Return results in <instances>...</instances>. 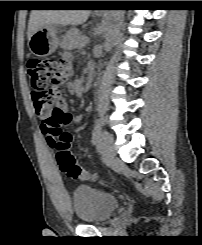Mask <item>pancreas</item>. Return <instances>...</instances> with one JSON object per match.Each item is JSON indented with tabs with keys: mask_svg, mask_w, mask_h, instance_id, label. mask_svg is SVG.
Listing matches in <instances>:
<instances>
[{
	"mask_svg": "<svg viewBox=\"0 0 202 245\" xmlns=\"http://www.w3.org/2000/svg\"><path fill=\"white\" fill-rule=\"evenodd\" d=\"M83 39L84 37L81 35L80 31L74 29L64 36L60 46L64 49L80 48L84 46Z\"/></svg>",
	"mask_w": 202,
	"mask_h": 245,
	"instance_id": "cf45deb5",
	"label": "pancreas"
}]
</instances>
